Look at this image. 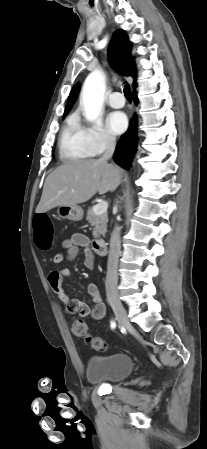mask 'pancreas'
<instances>
[{
	"label": "pancreas",
	"mask_w": 207,
	"mask_h": 449,
	"mask_svg": "<svg viewBox=\"0 0 207 449\" xmlns=\"http://www.w3.org/2000/svg\"><path fill=\"white\" fill-rule=\"evenodd\" d=\"M93 208L88 209L86 220L93 226V237L98 238L100 235H105L106 233L108 215L106 212L103 214H96Z\"/></svg>",
	"instance_id": "pancreas-1"
}]
</instances>
